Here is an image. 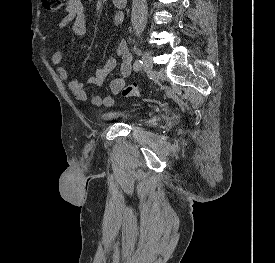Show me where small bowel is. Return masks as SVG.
Segmentation results:
<instances>
[{
	"instance_id": "small-bowel-1",
	"label": "small bowel",
	"mask_w": 275,
	"mask_h": 263,
	"mask_svg": "<svg viewBox=\"0 0 275 263\" xmlns=\"http://www.w3.org/2000/svg\"><path fill=\"white\" fill-rule=\"evenodd\" d=\"M114 25L119 27L123 22V15L116 12L113 16ZM67 26L71 27L72 33L82 38L86 34L85 8L81 0H68L66 6V15L59 23V29L63 30ZM63 55L57 50L52 55V63L57 66V72L60 78L65 80L74 97L79 101H85L88 98L84 84L70 77L67 68L62 66ZM120 61V73L117 78L110 82V94L104 96H93L90 102L95 107H111L114 103V95L122 90L126 78L132 71V55L126 41H119L114 55L110 56L103 65L98 66L93 76L89 77L87 83L101 86L108 75L116 68L117 61Z\"/></svg>"
}]
</instances>
